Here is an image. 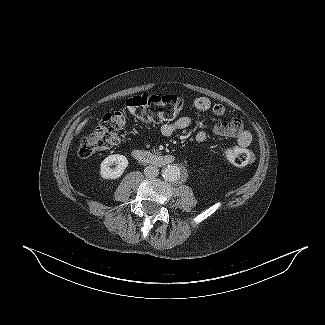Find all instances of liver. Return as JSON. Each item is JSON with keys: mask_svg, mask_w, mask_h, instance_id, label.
<instances>
[{"mask_svg": "<svg viewBox=\"0 0 325 325\" xmlns=\"http://www.w3.org/2000/svg\"><path fill=\"white\" fill-rule=\"evenodd\" d=\"M88 122V119H85L76 129V135H78L80 133V131L82 130V128L86 125V123Z\"/></svg>", "mask_w": 325, "mask_h": 325, "instance_id": "1", "label": "liver"}]
</instances>
